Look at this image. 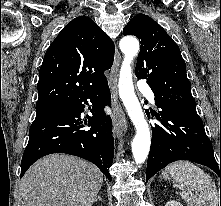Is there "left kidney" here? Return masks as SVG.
I'll return each mask as SVG.
<instances>
[{
	"label": "left kidney",
	"mask_w": 221,
	"mask_h": 206,
	"mask_svg": "<svg viewBox=\"0 0 221 206\" xmlns=\"http://www.w3.org/2000/svg\"><path fill=\"white\" fill-rule=\"evenodd\" d=\"M165 206H183L180 202L178 201H175V200H171V201H168Z\"/></svg>",
	"instance_id": "5707ae66"
}]
</instances>
